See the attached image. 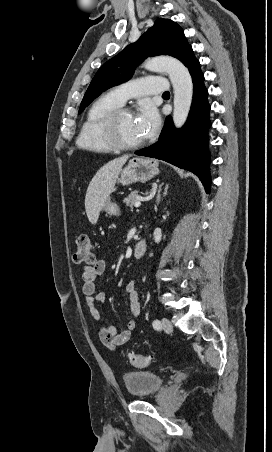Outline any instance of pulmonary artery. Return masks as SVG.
I'll list each match as a JSON object with an SVG mask.
<instances>
[{
  "instance_id": "pulmonary-artery-1",
  "label": "pulmonary artery",
  "mask_w": 272,
  "mask_h": 452,
  "mask_svg": "<svg viewBox=\"0 0 272 452\" xmlns=\"http://www.w3.org/2000/svg\"><path fill=\"white\" fill-rule=\"evenodd\" d=\"M168 89L169 85L166 79L150 76L116 86L110 94L123 105L129 98L160 94Z\"/></svg>"
}]
</instances>
